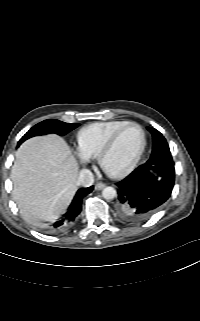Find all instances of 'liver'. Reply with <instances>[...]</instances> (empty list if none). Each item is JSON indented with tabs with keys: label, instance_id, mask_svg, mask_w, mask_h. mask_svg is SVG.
<instances>
[{
	"label": "liver",
	"instance_id": "6515ba94",
	"mask_svg": "<svg viewBox=\"0 0 200 321\" xmlns=\"http://www.w3.org/2000/svg\"><path fill=\"white\" fill-rule=\"evenodd\" d=\"M78 163L57 135L34 137L17 150L11 170L13 199L28 221L53 220L64 213L76 190Z\"/></svg>",
	"mask_w": 200,
	"mask_h": 321
}]
</instances>
